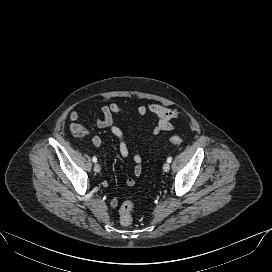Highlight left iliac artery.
<instances>
[{
  "instance_id": "obj_1",
  "label": "left iliac artery",
  "mask_w": 272,
  "mask_h": 272,
  "mask_svg": "<svg viewBox=\"0 0 272 272\" xmlns=\"http://www.w3.org/2000/svg\"><path fill=\"white\" fill-rule=\"evenodd\" d=\"M167 162H168V163H171V162H172V157H168V158H167Z\"/></svg>"
}]
</instances>
